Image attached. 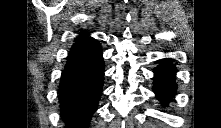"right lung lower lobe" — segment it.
<instances>
[{"instance_id":"98d812e1","label":"right lung lower lobe","mask_w":221,"mask_h":128,"mask_svg":"<svg viewBox=\"0 0 221 128\" xmlns=\"http://www.w3.org/2000/svg\"><path fill=\"white\" fill-rule=\"evenodd\" d=\"M104 61L100 43L75 41L62 71L58 98L66 128H87L102 94Z\"/></svg>"}]
</instances>
